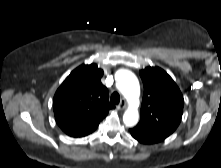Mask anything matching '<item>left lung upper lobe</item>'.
Wrapping results in <instances>:
<instances>
[{
  "label": "left lung upper lobe",
  "mask_w": 221,
  "mask_h": 168,
  "mask_svg": "<svg viewBox=\"0 0 221 168\" xmlns=\"http://www.w3.org/2000/svg\"><path fill=\"white\" fill-rule=\"evenodd\" d=\"M144 95L140 122L133 130L167 138L178 127L184 99L173 79L159 67L141 70Z\"/></svg>",
  "instance_id": "1"
}]
</instances>
